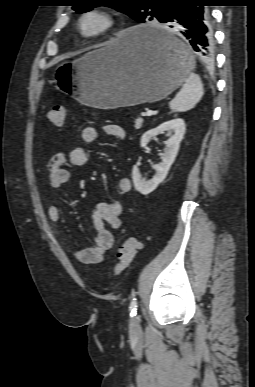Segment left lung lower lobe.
<instances>
[{
  "label": "left lung lower lobe",
  "mask_w": 255,
  "mask_h": 387,
  "mask_svg": "<svg viewBox=\"0 0 255 387\" xmlns=\"http://www.w3.org/2000/svg\"><path fill=\"white\" fill-rule=\"evenodd\" d=\"M211 0H180L172 2L166 9L161 23H176L180 33L188 39L192 48L204 61L211 62L214 57V39L210 24V13L206 6ZM169 27H173L169 25ZM143 39L170 56L180 54L178 45L166 31L145 32Z\"/></svg>",
  "instance_id": "left-lung-lower-lobe-1"
}]
</instances>
